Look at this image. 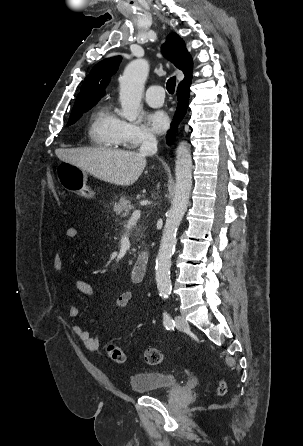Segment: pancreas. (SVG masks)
I'll return each instance as SVG.
<instances>
[{"mask_svg":"<svg viewBox=\"0 0 303 446\" xmlns=\"http://www.w3.org/2000/svg\"><path fill=\"white\" fill-rule=\"evenodd\" d=\"M133 208L131 202L127 200L125 197H121L119 202L114 205V212L117 216L121 218H125L128 216L129 212Z\"/></svg>","mask_w":303,"mask_h":446,"instance_id":"obj_1","label":"pancreas"}]
</instances>
